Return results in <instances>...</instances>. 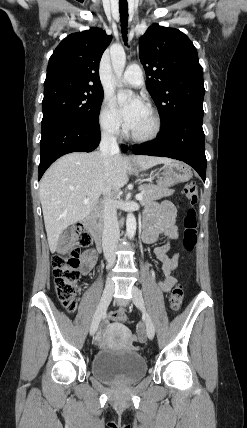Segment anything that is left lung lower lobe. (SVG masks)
I'll return each instance as SVG.
<instances>
[{"label": "left lung lower lobe", "mask_w": 247, "mask_h": 428, "mask_svg": "<svg viewBox=\"0 0 247 428\" xmlns=\"http://www.w3.org/2000/svg\"><path fill=\"white\" fill-rule=\"evenodd\" d=\"M203 116L179 115L163 124L159 139L133 147L134 154L169 157L192 166L203 181L206 178Z\"/></svg>", "instance_id": "0a47b994"}]
</instances>
